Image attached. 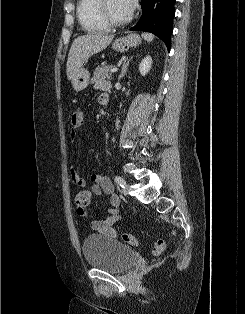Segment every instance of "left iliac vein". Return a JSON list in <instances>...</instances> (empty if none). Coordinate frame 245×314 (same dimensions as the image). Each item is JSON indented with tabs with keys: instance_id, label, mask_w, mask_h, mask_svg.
Segmentation results:
<instances>
[{
	"instance_id": "4c4485c4",
	"label": "left iliac vein",
	"mask_w": 245,
	"mask_h": 314,
	"mask_svg": "<svg viewBox=\"0 0 245 314\" xmlns=\"http://www.w3.org/2000/svg\"><path fill=\"white\" fill-rule=\"evenodd\" d=\"M130 192V186L128 184H125L124 188H123V193L125 195H128Z\"/></svg>"
}]
</instances>
